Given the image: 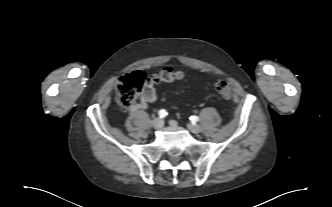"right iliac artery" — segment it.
Listing matches in <instances>:
<instances>
[{"instance_id":"1","label":"right iliac artery","mask_w":332,"mask_h":207,"mask_svg":"<svg viewBox=\"0 0 332 207\" xmlns=\"http://www.w3.org/2000/svg\"><path fill=\"white\" fill-rule=\"evenodd\" d=\"M158 115L160 118H163L167 115V112H166V110L162 109L158 112Z\"/></svg>"}]
</instances>
